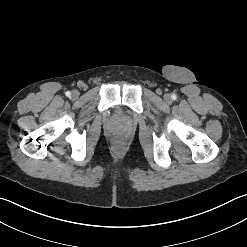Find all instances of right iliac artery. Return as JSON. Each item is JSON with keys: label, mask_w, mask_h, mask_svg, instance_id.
Returning <instances> with one entry per match:
<instances>
[{"label": "right iliac artery", "mask_w": 247, "mask_h": 247, "mask_svg": "<svg viewBox=\"0 0 247 247\" xmlns=\"http://www.w3.org/2000/svg\"><path fill=\"white\" fill-rule=\"evenodd\" d=\"M65 94H66V96H70L71 95V92L70 91H67Z\"/></svg>", "instance_id": "right-iliac-artery-1"}]
</instances>
